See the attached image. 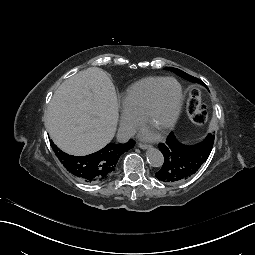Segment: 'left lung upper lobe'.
Returning a JSON list of instances; mask_svg holds the SVG:
<instances>
[{
  "label": "left lung upper lobe",
  "mask_w": 255,
  "mask_h": 255,
  "mask_svg": "<svg viewBox=\"0 0 255 255\" xmlns=\"http://www.w3.org/2000/svg\"><path fill=\"white\" fill-rule=\"evenodd\" d=\"M167 70H171L172 72H174V73H176L177 75H179V76H181V77H183V78H185V79H187V80H189V81H192V82H198V83H201L202 85H204L205 86V84L201 81V80H199V79H197V78H195V77H192V76H190V75H188V74H186L185 72H183V71H181V70H179V69H176V68H166ZM173 133H171L170 135H172ZM207 138H208V140H209V142H210V152H211V150H212V147H213V142H214V136H213V134H208V136H207ZM162 152V151H161ZM163 155H164V153H162ZM210 155V154H209ZM165 156V155H164ZM209 157V156H208ZM207 157V158H208ZM207 158H206V160H207ZM205 160V161H206ZM164 161H165V159H164ZM164 165V164H163ZM201 167V166H200ZM182 182V181H181ZM179 183V182H178Z\"/></svg>",
  "instance_id": "obj_1"
}]
</instances>
